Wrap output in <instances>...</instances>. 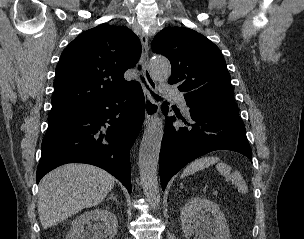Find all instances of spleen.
I'll return each instance as SVG.
<instances>
[{"label": "spleen", "mask_w": 304, "mask_h": 239, "mask_svg": "<svg viewBox=\"0 0 304 239\" xmlns=\"http://www.w3.org/2000/svg\"><path fill=\"white\" fill-rule=\"evenodd\" d=\"M214 164H216L218 172L224 176L227 181H231L232 184H235L238 187L240 193L246 194L248 192V187L240 172L235 171L232 173V168L228 164L221 162L218 157H202L194 160L183 170L181 177L183 178L190 174H194L199 170H203Z\"/></svg>", "instance_id": "obj_1"}]
</instances>
